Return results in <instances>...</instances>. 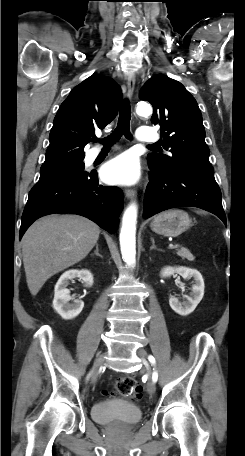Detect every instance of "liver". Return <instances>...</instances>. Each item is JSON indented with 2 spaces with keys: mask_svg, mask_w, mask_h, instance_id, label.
Returning <instances> with one entry per match:
<instances>
[{
  "mask_svg": "<svg viewBox=\"0 0 245 456\" xmlns=\"http://www.w3.org/2000/svg\"><path fill=\"white\" fill-rule=\"evenodd\" d=\"M99 234L94 222L78 215H50L34 222L22 238L30 293L37 295L51 276L84 259Z\"/></svg>",
  "mask_w": 245,
  "mask_h": 456,
  "instance_id": "liver-1",
  "label": "liver"
}]
</instances>
